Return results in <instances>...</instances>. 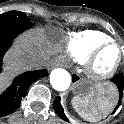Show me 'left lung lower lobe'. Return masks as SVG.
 <instances>
[{
	"instance_id": "0a47b994",
	"label": "left lung lower lobe",
	"mask_w": 124,
	"mask_h": 124,
	"mask_svg": "<svg viewBox=\"0 0 124 124\" xmlns=\"http://www.w3.org/2000/svg\"><path fill=\"white\" fill-rule=\"evenodd\" d=\"M76 80L75 75H73V81ZM112 82L116 85L117 89H118V101H117V105L114 109V111L112 112V114L119 108L120 104H121V99L123 97V90H124V76L123 74H117L114 76V78L112 79ZM53 108L55 109L56 113L59 115V117L65 121H68L67 117L64 114V109L60 104V97H57L56 100L53 102Z\"/></svg>"
}]
</instances>
